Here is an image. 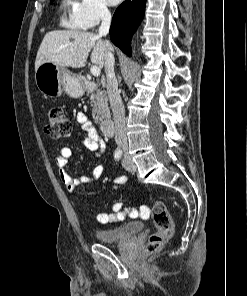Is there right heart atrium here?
<instances>
[{
	"label": "right heart atrium",
	"mask_w": 247,
	"mask_h": 296,
	"mask_svg": "<svg viewBox=\"0 0 247 296\" xmlns=\"http://www.w3.org/2000/svg\"><path fill=\"white\" fill-rule=\"evenodd\" d=\"M110 16L111 12L105 0H78L73 12L74 20L86 29L94 28Z\"/></svg>",
	"instance_id": "right-heart-atrium-1"
}]
</instances>
